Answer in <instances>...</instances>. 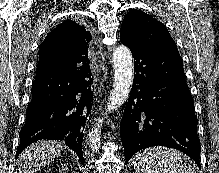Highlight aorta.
I'll use <instances>...</instances> for the list:
<instances>
[{"instance_id": "1", "label": "aorta", "mask_w": 219, "mask_h": 173, "mask_svg": "<svg viewBox=\"0 0 219 173\" xmlns=\"http://www.w3.org/2000/svg\"><path fill=\"white\" fill-rule=\"evenodd\" d=\"M114 81L108 98L106 111L117 110L129 97L133 84V57L128 47L118 46L113 52ZM102 120H99L88 136L87 144L92 151L100 147V129Z\"/></svg>"}]
</instances>
